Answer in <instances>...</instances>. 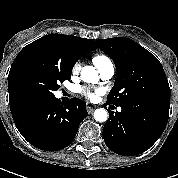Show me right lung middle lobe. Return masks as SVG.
Instances as JSON below:
<instances>
[{
  "label": "right lung middle lobe",
  "instance_id": "dd1d6c3e",
  "mask_svg": "<svg viewBox=\"0 0 178 178\" xmlns=\"http://www.w3.org/2000/svg\"><path fill=\"white\" fill-rule=\"evenodd\" d=\"M73 65L56 54L32 50L18 54L8 75L9 97L17 95L54 96L64 80H70Z\"/></svg>",
  "mask_w": 178,
  "mask_h": 178
}]
</instances>
